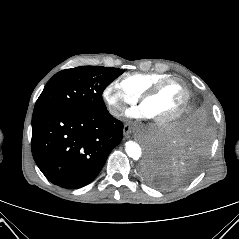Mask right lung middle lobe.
<instances>
[{
  "label": "right lung middle lobe",
  "mask_w": 239,
  "mask_h": 239,
  "mask_svg": "<svg viewBox=\"0 0 239 239\" xmlns=\"http://www.w3.org/2000/svg\"><path fill=\"white\" fill-rule=\"evenodd\" d=\"M124 73L118 68L80 66L55 74L36 101L34 111L51 108H69L103 111L104 89Z\"/></svg>",
  "instance_id": "right-lung-middle-lobe-1"
}]
</instances>
